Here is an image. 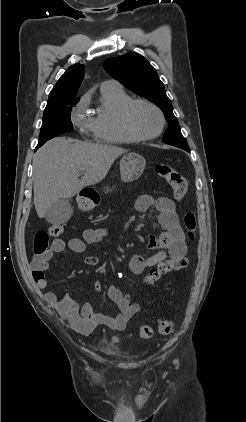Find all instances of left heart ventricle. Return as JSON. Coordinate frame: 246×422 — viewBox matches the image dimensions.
Masks as SVG:
<instances>
[{
    "label": "left heart ventricle",
    "instance_id": "left-heart-ventricle-1",
    "mask_svg": "<svg viewBox=\"0 0 246 422\" xmlns=\"http://www.w3.org/2000/svg\"><path fill=\"white\" fill-rule=\"evenodd\" d=\"M131 120L134 128L144 135L155 133L160 125V118L157 112L144 104H138L134 107L131 113Z\"/></svg>",
    "mask_w": 246,
    "mask_h": 422
}]
</instances>
